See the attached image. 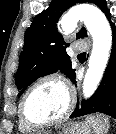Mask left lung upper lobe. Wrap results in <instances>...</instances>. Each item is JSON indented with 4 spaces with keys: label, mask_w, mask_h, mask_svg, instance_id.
<instances>
[{
    "label": "left lung upper lobe",
    "mask_w": 116,
    "mask_h": 134,
    "mask_svg": "<svg viewBox=\"0 0 116 134\" xmlns=\"http://www.w3.org/2000/svg\"><path fill=\"white\" fill-rule=\"evenodd\" d=\"M83 0H52L49 7L38 14L25 32L24 47L19 58V68L15 82L21 93L38 78L60 70L68 78L75 76L70 57L66 53L68 44L56 29L62 13ZM96 4L104 13L108 11L105 0H88ZM86 36L85 28L77 33V38Z\"/></svg>",
    "instance_id": "1"
}]
</instances>
